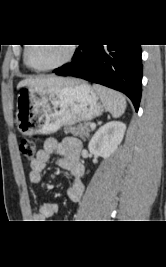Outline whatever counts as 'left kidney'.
I'll use <instances>...</instances> for the list:
<instances>
[{"instance_id":"left-kidney-1","label":"left kidney","mask_w":166,"mask_h":267,"mask_svg":"<svg viewBox=\"0 0 166 267\" xmlns=\"http://www.w3.org/2000/svg\"><path fill=\"white\" fill-rule=\"evenodd\" d=\"M126 125L119 121L108 122L100 127L89 142L91 153L109 158L122 142Z\"/></svg>"}]
</instances>
